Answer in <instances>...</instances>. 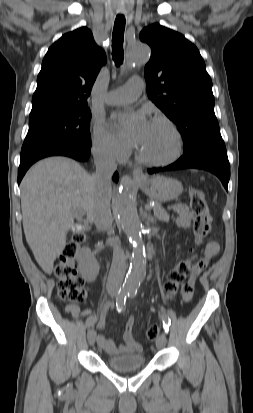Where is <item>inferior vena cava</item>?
I'll return each instance as SVG.
<instances>
[{
    "mask_svg": "<svg viewBox=\"0 0 253 413\" xmlns=\"http://www.w3.org/2000/svg\"><path fill=\"white\" fill-rule=\"evenodd\" d=\"M96 172L93 176L97 190V202L94 212V222L98 230L106 231L112 228V215L108 190L111 186V177L117 169L114 155L106 150L94 154ZM113 246V260L107 281V291L117 292L121 287L125 270L126 257L117 240H110Z\"/></svg>",
    "mask_w": 253,
    "mask_h": 413,
    "instance_id": "inferior-vena-cava-1",
    "label": "inferior vena cava"
}]
</instances>
